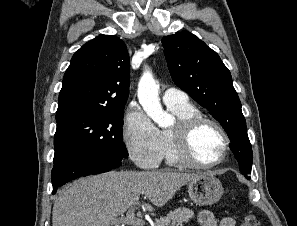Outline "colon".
I'll list each match as a JSON object with an SVG mask.
<instances>
[{"label": "colon", "instance_id": "1", "mask_svg": "<svg viewBox=\"0 0 297 226\" xmlns=\"http://www.w3.org/2000/svg\"><path fill=\"white\" fill-rule=\"evenodd\" d=\"M242 226H258V219L255 215L247 214L243 218Z\"/></svg>", "mask_w": 297, "mask_h": 226}]
</instances>
